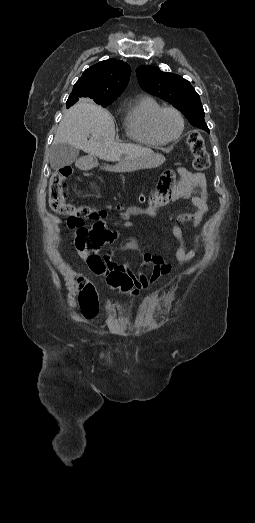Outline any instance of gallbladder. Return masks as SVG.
<instances>
[{"label":"gallbladder","mask_w":255,"mask_h":523,"mask_svg":"<svg viewBox=\"0 0 255 523\" xmlns=\"http://www.w3.org/2000/svg\"><path fill=\"white\" fill-rule=\"evenodd\" d=\"M79 156L78 148L70 144H53L50 148V166L52 170H60L64 166H70Z\"/></svg>","instance_id":"gallbladder-1"}]
</instances>
